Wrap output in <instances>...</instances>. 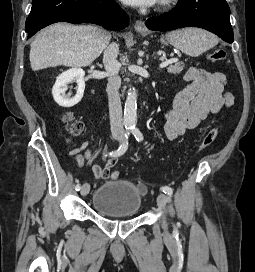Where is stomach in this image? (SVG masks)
I'll list each match as a JSON object with an SVG mask.
<instances>
[{
	"label": "stomach",
	"mask_w": 255,
	"mask_h": 272,
	"mask_svg": "<svg viewBox=\"0 0 255 272\" xmlns=\"http://www.w3.org/2000/svg\"><path fill=\"white\" fill-rule=\"evenodd\" d=\"M160 41H161V43H165V39L164 38H161Z\"/></svg>",
	"instance_id": "0dacf381"
}]
</instances>
